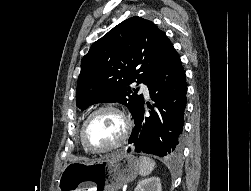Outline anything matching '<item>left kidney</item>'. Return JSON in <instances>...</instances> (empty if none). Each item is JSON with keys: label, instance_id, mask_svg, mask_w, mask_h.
I'll use <instances>...</instances> for the list:
<instances>
[{"label": "left kidney", "instance_id": "5707ae66", "mask_svg": "<svg viewBox=\"0 0 251 191\" xmlns=\"http://www.w3.org/2000/svg\"><path fill=\"white\" fill-rule=\"evenodd\" d=\"M134 191H162L160 177H147L136 185Z\"/></svg>", "mask_w": 251, "mask_h": 191}]
</instances>
